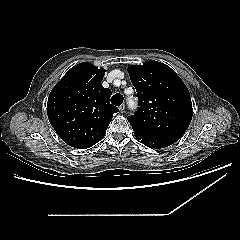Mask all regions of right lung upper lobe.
<instances>
[{
    "instance_id": "obj_1",
    "label": "right lung upper lobe",
    "mask_w": 240,
    "mask_h": 240,
    "mask_svg": "<svg viewBox=\"0 0 240 240\" xmlns=\"http://www.w3.org/2000/svg\"><path fill=\"white\" fill-rule=\"evenodd\" d=\"M105 70L89 62L72 67L51 90L47 115L59 137L68 145L86 149L104 137L118 108L102 86Z\"/></svg>"
}]
</instances>
